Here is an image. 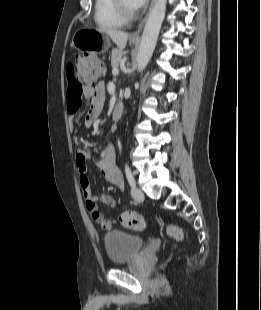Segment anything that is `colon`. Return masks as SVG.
<instances>
[{
	"instance_id": "colon-1",
	"label": "colon",
	"mask_w": 261,
	"mask_h": 310,
	"mask_svg": "<svg viewBox=\"0 0 261 310\" xmlns=\"http://www.w3.org/2000/svg\"><path fill=\"white\" fill-rule=\"evenodd\" d=\"M75 66L77 69V78L75 81L79 85L93 83L97 77L104 72L103 63L89 54L77 55L75 58ZM119 220L123 226L134 230H143L147 226L145 217L133 211L122 212ZM166 233L175 243L183 239V232L176 224L168 225Z\"/></svg>"
}]
</instances>
